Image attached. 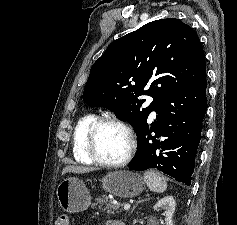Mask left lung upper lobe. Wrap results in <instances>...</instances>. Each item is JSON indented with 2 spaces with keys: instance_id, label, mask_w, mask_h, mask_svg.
<instances>
[{
  "instance_id": "left-lung-upper-lobe-1",
  "label": "left lung upper lobe",
  "mask_w": 237,
  "mask_h": 225,
  "mask_svg": "<svg viewBox=\"0 0 237 225\" xmlns=\"http://www.w3.org/2000/svg\"><path fill=\"white\" fill-rule=\"evenodd\" d=\"M205 79L204 51L194 30L179 19L155 20L107 48L91 67L83 101L107 107L137 131L160 98ZM142 95L153 98L146 108Z\"/></svg>"
}]
</instances>
